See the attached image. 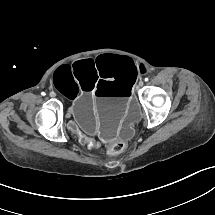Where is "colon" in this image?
Masks as SVG:
<instances>
[{
  "mask_svg": "<svg viewBox=\"0 0 215 215\" xmlns=\"http://www.w3.org/2000/svg\"><path fill=\"white\" fill-rule=\"evenodd\" d=\"M124 147H125V143L123 142L113 143L107 146L106 152L108 154H116L121 152L124 149Z\"/></svg>",
  "mask_w": 215,
  "mask_h": 215,
  "instance_id": "obj_1",
  "label": "colon"
}]
</instances>
